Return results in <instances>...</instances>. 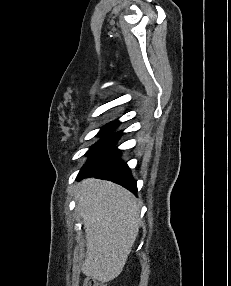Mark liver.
<instances>
[{"instance_id":"1","label":"liver","mask_w":231,"mask_h":286,"mask_svg":"<svg viewBox=\"0 0 231 286\" xmlns=\"http://www.w3.org/2000/svg\"><path fill=\"white\" fill-rule=\"evenodd\" d=\"M77 210L86 234L82 272L109 282L122 272L138 236L140 203L115 183L89 178L80 184Z\"/></svg>"}]
</instances>
